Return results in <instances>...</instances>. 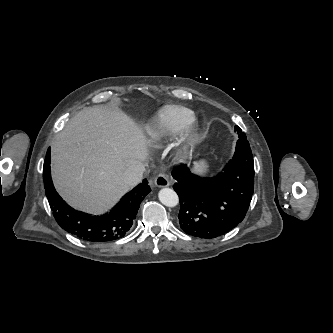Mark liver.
<instances>
[{
	"label": "liver",
	"mask_w": 333,
	"mask_h": 333,
	"mask_svg": "<svg viewBox=\"0 0 333 333\" xmlns=\"http://www.w3.org/2000/svg\"><path fill=\"white\" fill-rule=\"evenodd\" d=\"M146 158L141 132L125 113L88 107L52 143L53 182L72 207L102 213L128 191L123 173L130 164Z\"/></svg>",
	"instance_id": "liver-1"
}]
</instances>
